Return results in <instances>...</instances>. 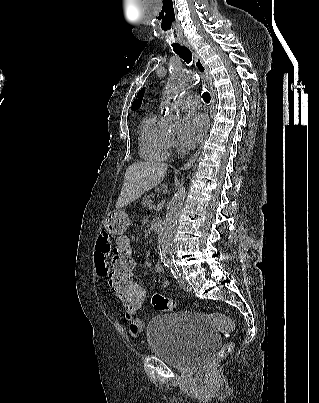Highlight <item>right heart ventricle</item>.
Segmentation results:
<instances>
[{
    "instance_id": "right-heart-ventricle-1",
    "label": "right heart ventricle",
    "mask_w": 319,
    "mask_h": 403,
    "mask_svg": "<svg viewBox=\"0 0 319 403\" xmlns=\"http://www.w3.org/2000/svg\"><path fill=\"white\" fill-rule=\"evenodd\" d=\"M139 150L148 161H163L169 156L170 138L159 125L156 113L147 114L140 123Z\"/></svg>"
}]
</instances>
